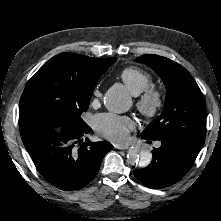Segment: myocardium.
<instances>
[{
  "instance_id": "obj_1",
  "label": "myocardium",
  "mask_w": 221,
  "mask_h": 221,
  "mask_svg": "<svg viewBox=\"0 0 221 221\" xmlns=\"http://www.w3.org/2000/svg\"><path fill=\"white\" fill-rule=\"evenodd\" d=\"M136 107L139 113L146 119H154L162 112L164 107V98L156 88H147L139 96Z\"/></svg>"
}]
</instances>
